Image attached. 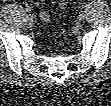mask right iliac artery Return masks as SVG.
Instances as JSON below:
<instances>
[{"label": "right iliac artery", "instance_id": "1", "mask_svg": "<svg viewBox=\"0 0 111 106\" xmlns=\"http://www.w3.org/2000/svg\"><path fill=\"white\" fill-rule=\"evenodd\" d=\"M26 10L28 11V13H30L32 11V8L28 7Z\"/></svg>", "mask_w": 111, "mask_h": 106}]
</instances>
